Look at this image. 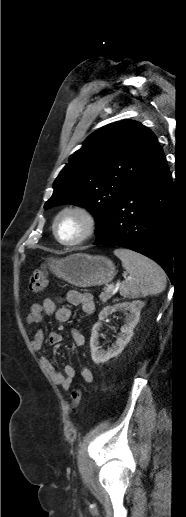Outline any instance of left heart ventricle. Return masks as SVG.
I'll list each match as a JSON object with an SVG mask.
<instances>
[{"label":"left heart ventricle","mask_w":186,"mask_h":517,"mask_svg":"<svg viewBox=\"0 0 186 517\" xmlns=\"http://www.w3.org/2000/svg\"><path fill=\"white\" fill-rule=\"evenodd\" d=\"M84 230L83 220L75 214H66L57 224V233L64 241L75 240Z\"/></svg>","instance_id":"b2bd125f"}]
</instances>
